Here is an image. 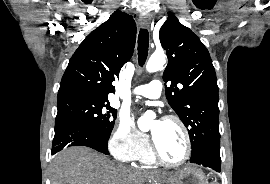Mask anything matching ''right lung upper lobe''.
I'll list each match as a JSON object with an SVG mask.
<instances>
[{"label": "right lung upper lobe", "mask_w": 270, "mask_h": 184, "mask_svg": "<svg viewBox=\"0 0 270 184\" xmlns=\"http://www.w3.org/2000/svg\"><path fill=\"white\" fill-rule=\"evenodd\" d=\"M136 30L133 17L116 10L84 39L71 57L58 98L89 96L108 101V94L115 93L112 82L133 54Z\"/></svg>", "instance_id": "obj_1"}]
</instances>
